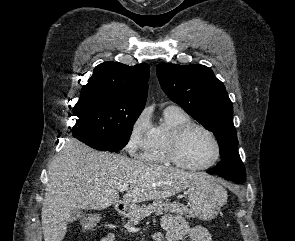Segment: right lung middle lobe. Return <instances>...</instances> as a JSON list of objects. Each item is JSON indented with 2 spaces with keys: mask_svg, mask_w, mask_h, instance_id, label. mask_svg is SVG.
Listing matches in <instances>:
<instances>
[{
  "mask_svg": "<svg viewBox=\"0 0 295 241\" xmlns=\"http://www.w3.org/2000/svg\"><path fill=\"white\" fill-rule=\"evenodd\" d=\"M143 109L104 92H89L73 108L76 125L72 135L94 149L120 150L128 143Z\"/></svg>",
  "mask_w": 295,
  "mask_h": 241,
  "instance_id": "dd1d6c3e",
  "label": "right lung middle lobe"
}]
</instances>
